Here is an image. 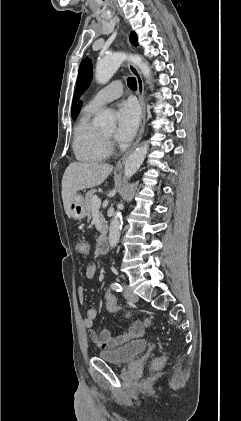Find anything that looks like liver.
I'll list each match as a JSON object with an SVG mask.
<instances>
[{
  "label": "liver",
  "mask_w": 241,
  "mask_h": 421,
  "mask_svg": "<svg viewBox=\"0 0 241 421\" xmlns=\"http://www.w3.org/2000/svg\"><path fill=\"white\" fill-rule=\"evenodd\" d=\"M113 166L95 162H72L66 168L62 179V200L64 210L70 217V205L78 191L93 188L103 183Z\"/></svg>",
  "instance_id": "obj_1"
}]
</instances>
